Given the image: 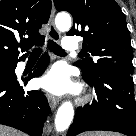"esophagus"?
Returning <instances> with one entry per match:
<instances>
[{
  "instance_id": "obj_1",
  "label": "esophagus",
  "mask_w": 136,
  "mask_h": 136,
  "mask_svg": "<svg viewBox=\"0 0 136 136\" xmlns=\"http://www.w3.org/2000/svg\"><path fill=\"white\" fill-rule=\"evenodd\" d=\"M54 16H55V8L54 5L52 3V9H51V14H50V18L48 21V26H49V38L54 41V42H59L60 40V34L57 31L55 24H54ZM49 105L51 107V109H55L57 104L59 103V99L51 94H48L47 96Z\"/></svg>"
}]
</instances>
